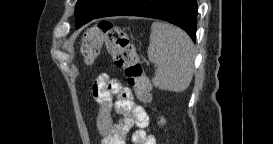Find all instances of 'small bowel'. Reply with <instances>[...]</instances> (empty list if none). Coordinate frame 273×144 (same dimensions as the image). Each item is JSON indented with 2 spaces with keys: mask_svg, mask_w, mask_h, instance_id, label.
I'll use <instances>...</instances> for the list:
<instances>
[{
  "mask_svg": "<svg viewBox=\"0 0 273 144\" xmlns=\"http://www.w3.org/2000/svg\"><path fill=\"white\" fill-rule=\"evenodd\" d=\"M92 95L97 104L96 126L103 137L102 144H125L132 127V144H156L148 113L135 102L132 90L121 80L106 73L100 75L92 85ZM114 112L121 118L119 122L114 121Z\"/></svg>",
  "mask_w": 273,
  "mask_h": 144,
  "instance_id": "1",
  "label": "small bowel"
}]
</instances>
